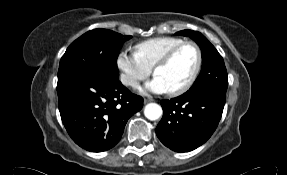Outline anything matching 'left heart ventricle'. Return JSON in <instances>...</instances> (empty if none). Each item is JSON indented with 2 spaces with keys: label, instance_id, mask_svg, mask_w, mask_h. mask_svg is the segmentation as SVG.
Wrapping results in <instances>:
<instances>
[{
  "label": "left heart ventricle",
  "instance_id": "b2bd125f",
  "mask_svg": "<svg viewBox=\"0 0 287 175\" xmlns=\"http://www.w3.org/2000/svg\"><path fill=\"white\" fill-rule=\"evenodd\" d=\"M197 64V52L191 45L180 49L172 60L157 69L155 76L160 77L169 91L184 85L193 74Z\"/></svg>",
  "mask_w": 287,
  "mask_h": 175
}]
</instances>
